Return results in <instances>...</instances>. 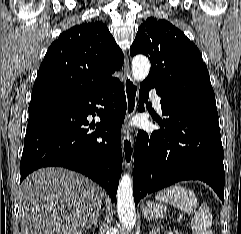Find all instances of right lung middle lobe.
I'll use <instances>...</instances> for the list:
<instances>
[{"label": "right lung middle lobe", "mask_w": 241, "mask_h": 234, "mask_svg": "<svg viewBox=\"0 0 241 234\" xmlns=\"http://www.w3.org/2000/svg\"><path fill=\"white\" fill-rule=\"evenodd\" d=\"M58 104H38V105H30L29 106V111H34L42 108H47V107H52Z\"/></svg>", "instance_id": "1"}]
</instances>
